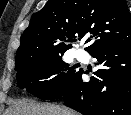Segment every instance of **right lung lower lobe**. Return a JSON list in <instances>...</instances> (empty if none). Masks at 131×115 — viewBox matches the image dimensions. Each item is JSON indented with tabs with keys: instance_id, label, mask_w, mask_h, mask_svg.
<instances>
[{
	"instance_id": "right-lung-lower-lobe-1",
	"label": "right lung lower lobe",
	"mask_w": 131,
	"mask_h": 115,
	"mask_svg": "<svg viewBox=\"0 0 131 115\" xmlns=\"http://www.w3.org/2000/svg\"><path fill=\"white\" fill-rule=\"evenodd\" d=\"M92 56L101 65L95 77L84 82L79 72L60 98L83 115H131V43L103 48Z\"/></svg>"
}]
</instances>
